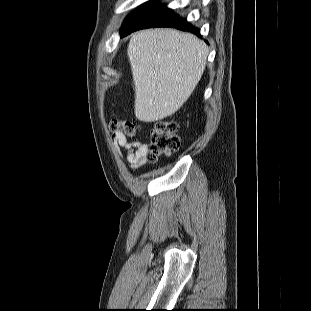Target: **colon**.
Masks as SVG:
<instances>
[{"mask_svg":"<svg viewBox=\"0 0 311 311\" xmlns=\"http://www.w3.org/2000/svg\"><path fill=\"white\" fill-rule=\"evenodd\" d=\"M109 127L113 131L122 132L127 136L134 135L139 126L129 120L112 119ZM180 146L177 135V124L173 120H162L150 132V147L147 160L154 162L161 156L175 152Z\"/></svg>","mask_w":311,"mask_h":311,"instance_id":"colon-1","label":"colon"}]
</instances>
